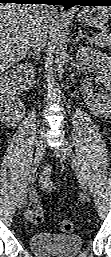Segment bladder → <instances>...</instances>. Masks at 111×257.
<instances>
[{"label": "bladder", "mask_w": 111, "mask_h": 257, "mask_svg": "<svg viewBox=\"0 0 111 257\" xmlns=\"http://www.w3.org/2000/svg\"><path fill=\"white\" fill-rule=\"evenodd\" d=\"M78 234L35 233L29 240L31 251L39 257H74L82 250Z\"/></svg>", "instance_id": "obj_1"}]
</instances>
